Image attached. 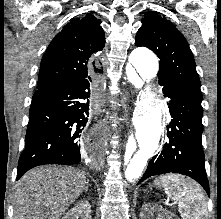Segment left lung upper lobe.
I'll use <instances>...</instances> for the list:
<instances>
[{
	"instance_id": "1",
	"label": "left lung upper lobe",
	"mask_w": 221,
	"mask_h": 219,
	"mask_svg": "<svg viewBox=\"0 0 221 219\" xmlns=\"http://www.w3.org/2000/svg\"><path fill=\"white\" fill-rule=\"evenodd\" d=\"M135 45L147 47L159 57L161 86H173L202 99L200 79L190 47L169 20L156 13H147L136 34Z\"/></svg>"
}]
</instances>
